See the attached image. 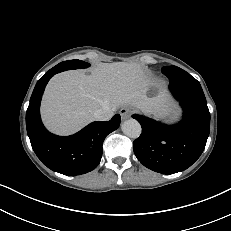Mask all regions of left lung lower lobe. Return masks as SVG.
I'll return each instance as SVG.
<instances>
[{"label": "left lung lower lobe", "mask_w": 231, "mask_h": 231, "mask_svg": "<svg viewBox=\"0 0 231 231\" xmlns=\"http://www.w3.org/2000/svg\"><path fill=\"white\" fill-rule=\"evenodd\" d=\"M169 88L183 108L182 120L167 126L153 119L133 115L142 126L133 142L138 160L162 174L187 169L202 154L210 131V113L200 83L186 71L175 67L164 70Z\"/></svg>", "instance_id": "0a47b994"}]
</instances>
